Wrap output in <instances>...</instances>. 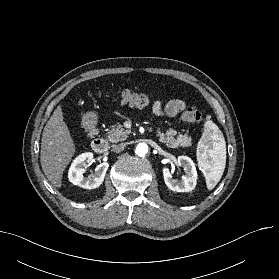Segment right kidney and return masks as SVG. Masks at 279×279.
<instances>
[{
	"mask_svg": "<svg viewBox=\"0 0 279 279\" xmlns=\"http://www.w3.org/2000/svg\"><path fill=\"white\" fill-rule=\"evenodd\" d=\"M93 160V153L85 152L77 156L69 169L68 178L71 183L84 189H95L98 188L104 181L106 171L109 167L107 162L99 164L95 168V173L88 178L83 176L85 167Z\"/></svg>",
	"mask_w": 279,
	"mask_h": 279,
	"instance_id": "1",
	"label": "right kidney"
}]
</instances>
